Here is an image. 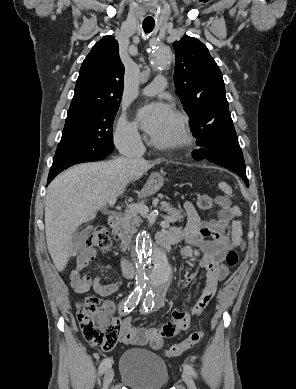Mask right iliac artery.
Returning <instances> with one entry per match:
<instances>
[{"label": "right iliac artery", "mask_w": 296, "mask_h": 389, "mask_svg": "<svg viewBox=\"0 0 296 389\" xmlns=\"http://www.w3.org/2000/svg\"><path fill=\"white\" fill-rule=\"evenodd\" d=\"M141 296H142V288H140V286L136 287V289L129 295L127 300H124L122 302L121 304L122 311L124 312L127 311L128 313L131 312L140 301ZM111 362H112L111 358L103 359V361L99 366V374H103L108 369V367H110Z\"/></svg>", "instance_id": "right-iliac-artery-1"}]
</instances>
